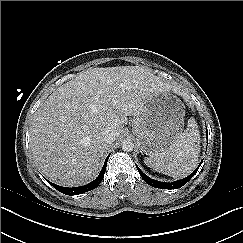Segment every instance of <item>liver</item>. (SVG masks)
I'll return each mask as SVG.
<instances>
[{"mask_svg":"<svg viewBox=\"0 0 243 243\" xmlns=\"http://www.w3.org/2000/svg\"><path fill=\"white\" fill-rule=\"evenodd\" d=\"M173 92L177 85L139 66L90 68L58 87L38 108L29 146L40 172L66 187L95 179L108 144L107 129L124 132L128 116H138L154 95Z\"/></svg>","mask_w":243,"mask_h":243,"instance_id":"1","label":"liver"}]
</instances>
